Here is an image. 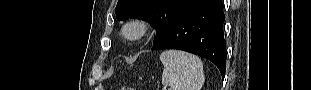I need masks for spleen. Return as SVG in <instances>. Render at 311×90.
I'll list each match as a JSON object with an SVG mask.
<instances>
[{
    "instance_id": "3e777b00",
    "label": "spleen",
    "mask_w": 311,
    "mask_h": 90,
    "mask_svg": "<svg viewBox=\"0 0 311 90\" xmlns=\"http://www.w3.org/2000/svg\"><path fill=\"white\" fill-rule=\"evenodd\" d=\"M164 65L162 84L170 90H201L205 77L201 60L180 50H166L161 53Z\"/></svg>"
}]
</instances>
